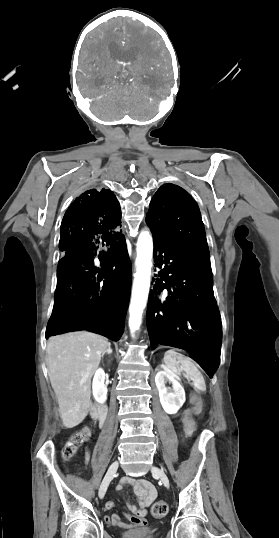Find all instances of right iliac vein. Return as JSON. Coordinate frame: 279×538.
<instances>
[{
	"label": "right iliac vein",
	"mask_w": 279,
	"mask_h": 538,
	"mask_svg": "<svg viewBox=\"0 0 279 538\" xmlns=\"http://www.w3.org/2000/svg\"><path fill=\"white\" fill-rule=\"evenodd\" d=\"M118 466H119V463L117 461H115L114 463L111 464V466L109 467L101 485H100V488H99V498L102 499L107 491V488L111 482V480L113 479L115 473L117 472V469H118Z\"/></svg>",
	"instance_id": "63e3f726"
}]
</instances>
